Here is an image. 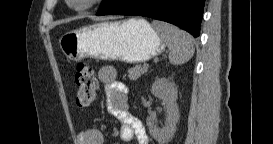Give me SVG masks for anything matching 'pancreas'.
Returning <instances> with one entry per match:
<instances>
[{
    "instance_id": "cf45deb5",
    "label": "pancreas",
    "mask_w": 273,
    "mask_h": 144,
    "mask_svg": "<svg viewBox=\"0 0 273 144\" xmlns=\"http://www.w3.org/2000/svg\"><path fill=\"white\" fill-rule=\"evenodd\" d=\"M147 69L141 65H136L130 69H128V76L130 80H137L141 75H143Z\"/></svg>"
}]
</instances>
